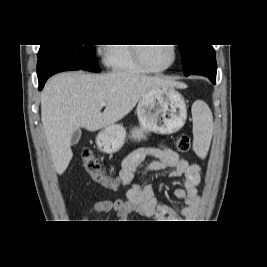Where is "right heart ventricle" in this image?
I'll use <instances>...</instances> for the list:
<instances>
[{"mask_svg": "<svg viewBox=\"0 0 267 267\" xmlns=\"http://www.w3.org/2000/svg\"><path fill=\"white\" fill-rule=\"evenodd\" d=\"M108 64L112 70L116 72H147V70L136 61L132 46L125 44H112V46H110Z\"/></svg>", "mask_w": 267, "mask_h": 267, "instance_id": "right-heart-ventricle-1", "label": "right heart ventricle"}]
</instances>
